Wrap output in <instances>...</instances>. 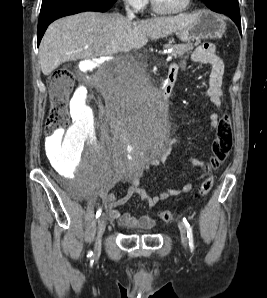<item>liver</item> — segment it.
Masks as SVG:
<instances>
[{"label": "liver", "instance_id": "obj_1", "mask_svg": "<svg viewBox=\"0 0 267 298\" xmlns=\"http://www.w3.org/2000/svg\"><path fill=\"white\" fill-rule=\"evenodd\" d=\"M196 14H180L132 21L120 14L82 12L54 21L39 47L42 73L51 74L62 63L93 59L140 49L148 38L166 37L193 24Z\"/></svg>", "mask_w": 267, "mask_h": 298}]
</instances>
